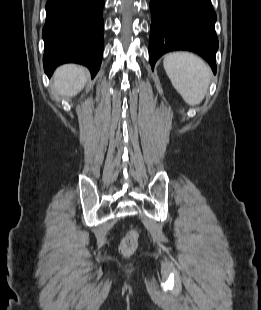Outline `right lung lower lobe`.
<instances>
[{
	"instance_id": "1",
	"label": "right lung lower lobe",
	"mask_w": 261,
	"mask_h": 310,
	"mask_svg": "<svg viewBox=\"0 0 261 310\" xmlns=\"http://www.w3.org/2000/svg\"><path fill=\"white\" fill-rule=\"evenodd\" d=\"M103 0H48L43 28V65L50 76L66 62L87 66L92 77L103 54Z\"/></svg>"
}]
</instances>
